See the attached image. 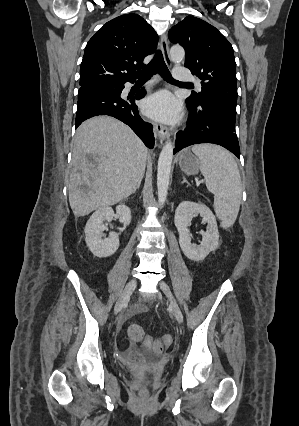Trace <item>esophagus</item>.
I'll return each mask as SVG.
<instances>
[{"mask_svg":"<svg viewBox=\"0 0 299 426\" xmlns=\"http://www.w3.org/2000/svg\"><path fill=\"white\" fill-rule=\"evenodd\" d=\"M160 48L166 64L170 66L171 60L169 56V43L166 34H163L160 38ZM154 130L160 143L170 136L169 128L162 124L154 123Z\"/></svg>","mask_w":299,"mask_h":426,"instance_id":"obj_1","label":"esophagus"}]
</instances>
